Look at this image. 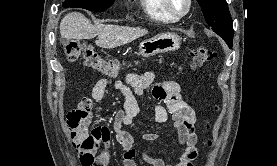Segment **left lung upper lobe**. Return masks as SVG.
<instances>
[{"label": "left lung upper lobe", "mask_w": 277, "mask_h": 166, "mask_svg": "<svg viewBox=\"0 0 277 166\" xmlns=\"http://www.w3.org/2000/svg\"><path fill=\"white\" fill-rule=\"evenodd\" d=\"M197 1L201 6L207 23L231 48L233 42V27L226 0Z\"/></svg>", "instance_id": "obj_1"}]
</instances>
